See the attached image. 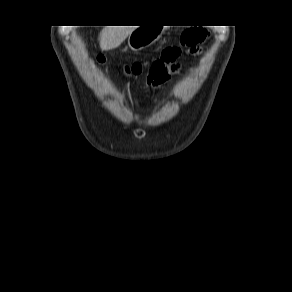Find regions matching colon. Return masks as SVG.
I'll return each mask as SVG.
<instances>
[{
	"mask_svg": "<svg viewBox=\"0 0 292 292\" xmlns=\"http://www.w3.org/2000/svg\"><path fill=\"white\" fill-rule=\"evenodd\" d=\"M207 36L206 30L201 28H191L187 30L181 38V44L184 47H194L195 45L201 43L205 40ZM181 49L178 47H173L167 49L161 57L154 58L147 63L135 62L131 65L125 67V71L131 75L140 74L145 67L149 68V82L154 85L166 81L169 77L168 68H174V63L176 59L180 56ZM99 63L104 61L103 58L99 57Z\"/></svg>",
	"mask_w": 292,
	"mask_h": 292,
	"instance_id": "obj_1",
	"label": "colon"
}]
</instances>
